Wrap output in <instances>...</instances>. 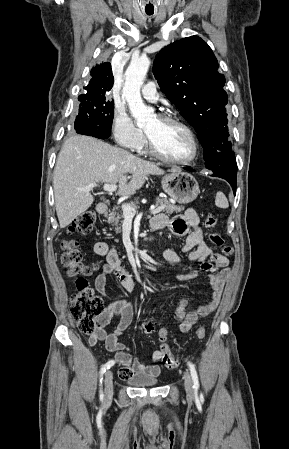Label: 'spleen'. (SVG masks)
Listing matches in <instances>:
<instances>
[{"label": "spleen", "instance_id": "obj_1", "mask_svg": "<svg viewBox=\"0 0 289 449\" xmlns=\"http://www.w3.org/2000/svg\"><path fill=\"white\" fill-rule=\"evenodd\" d=\"M215 204L217 207L223 208V209H226L229 206L226 196L220 191L217 192V194H216Z\"/></svg>", "mask_w": 289, "mask_h": 449}]
</instances>
